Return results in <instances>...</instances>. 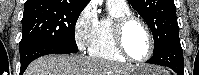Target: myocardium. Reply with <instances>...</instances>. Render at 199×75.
<instances>
[{
	"label": "myocardium",
	"mask_w": 199,
	"mask_h": 75,
	"mask_svg": "<svg viewBox=\"0 0 199 75\" xmlns=\"http://www.w3.org/2000/svg\"><path fill=\"white\" fill-rule=\"evenodd\" d=\"M133 22H136L143 27L147 35L148 43H149V49H148L147 54L143 58H140V59L133 58L128 53L125 46V42H124L125 30L127 26ZM112 34H113V38H114L117 49L128 61L135 62V63H143V62L148 61L149 58L152 56L153 51H154V39H153L149 26L140 17L129 14V15H125V16L117 18L112 24Z\"/></svg>",
	"instance_id": "obj_1"
}]
</instances>
